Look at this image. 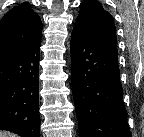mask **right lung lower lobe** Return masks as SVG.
<instances>
[{
	"mask_svg": "<svg viewBox=\"0 0 144 137\" xmlns=\"http://www.w3.org/2000/svg\"><path fill=\"white\" fill-rule=\"evenodd\" d=\"M41 37L0 58V130L39 137V59Z\"/></svg>",
	"mask_w": 144,
	"mask_h": 137,
	"instance_id": "obj_1",
	"label": "right lung lower lobe"
}]
</instances>
